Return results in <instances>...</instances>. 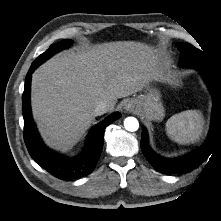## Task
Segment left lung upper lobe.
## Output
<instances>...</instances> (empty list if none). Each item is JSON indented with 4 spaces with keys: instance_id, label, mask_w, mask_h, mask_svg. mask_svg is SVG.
<instances>
[{
    "instance_id": "obj_1",
    "label": "left lung upper lobe",
    "mask_w": 221,
    "mask_h": 221,
    "mask_svg": "<svg viewBox=\"0 0 221 221\" xmlns=\"http://www.w3.org/2000/svg\"><path fill=\"white\" fill-rule=\"evenodd\" d=\"M177 46L180 51V63L182 65L198 70L211 69L205 54L201 50L195 48L189 43H178Z\"/></svg>"
}]
</instances>
